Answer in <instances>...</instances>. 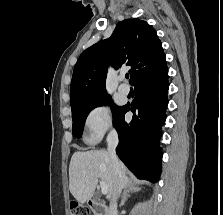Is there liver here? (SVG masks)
I'll return each instance as SVG.
<instances>
[{
	"label": "liver",
	"instance_id": "obj_1",
	"mask_svg": "<svg viewBox=\"0 0 223 215\" xmlns=\"http://www.w3.org/2000/svg\"><path fill=\"white\" fill-rule=\"evenodd\" d=\"M98 177L108 185L107 199L113 193L121 191L131 183L127 175V167L120 161V171L115 175L113 163L108 151L104 149H90V151H75L69 165V189L77 201L85 203L91 199ZM119 181V183H116Z\"/></svg>",
	"mask_w": 223,
	"mask_h": 215
}]
</instances>
